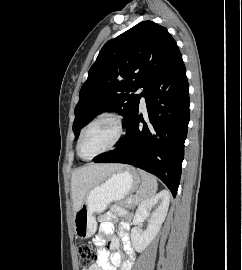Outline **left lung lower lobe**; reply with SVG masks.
<instances>
[{
	"label": "left lung lower lobe",
	"instance_id": "1",
	"mask_svg": "<svg viewBox=\"0 0 242 270\" xmlns=\"http://www.w3.org/2000/svg\"><path fill=\"white\" fill-rule=\"evenodd\" d=\"M186 69L180 55L167 65L144 92L148 122L136 113L127 125V135L96 163H124L160 178L176 196L184 141L189 123V93ZM142 122L143 126L139 123Z\"/></svg>",
	"mask_w": 242,
	"mask_h": 270
}]
</instances>
